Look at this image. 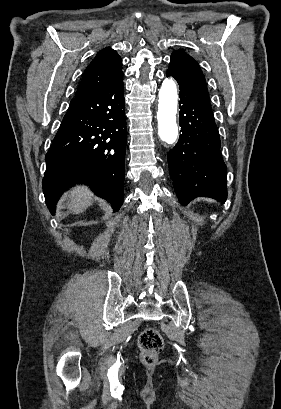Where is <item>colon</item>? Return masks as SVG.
I'll use <instances>...</instances> for the list:
<instances>
[{
    "instance_id": "obj_1",
    "label": "colon",
    "mask_w": 281,
    "mask_h": 409,
    "mask_svg": "<svg viewBox=\"0 0 281 409\" xmlns=\"http://www.w3.org/2000/svg\"><path fill=\"white\" fill-rule=\"evenodd\" d=\"M138 346L141 351V360L147 365H153L158 354L163 350L164 340L161 334L152 327L145 328L138 339Z\"/></svg>"
}]
</instances>
